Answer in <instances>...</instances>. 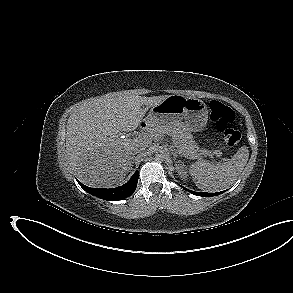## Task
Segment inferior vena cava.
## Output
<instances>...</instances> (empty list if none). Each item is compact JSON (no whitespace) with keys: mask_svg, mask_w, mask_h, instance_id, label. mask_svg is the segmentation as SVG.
<instances>
[{"mask_svg":"<svg viewBox=\"0 0 293 293\" xmlns=\"http://www.w3.org/2000/svg\"><path fill=\"white\" fill-rule=\"evenodd\" d=\"M147 144L146 143H137L134 147V152L136 153H140V152H144L145 149L147 148Z\"/></svg>","mask_w":293,"mask_h":293,"instance_id":"obj_1","label":"inferior vena cava"}]
</instances>
